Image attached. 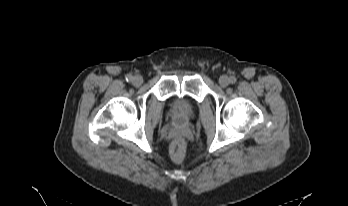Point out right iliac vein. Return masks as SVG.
<instances>
[{"label":"right iliac vein","mask_w":348,"mask_h":206,"mask_svg":"<svg viewBox=\"0 0 348 206\" xmlns=\"http://www.w3.org/2000/svg\"><path fill=\"white\" fill-rule=\"evenodd\" d=\"M132 83L134 86H140L143 83V78L140 75H136L133 77Z\"/></svg>","instance_id":"63e3f726"}]
</instances>
